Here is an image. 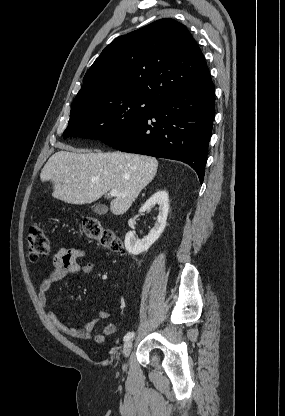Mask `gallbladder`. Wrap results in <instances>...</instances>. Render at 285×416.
<instances>
[{"label":"gallbladder","mask_w":285,"mask_h":416,"mask_svg":"<svg viewBox=\"0 0 285 416\" xmlns=\"http://www.w3.org/2000/svg\"><path fill=\"white\" fill-rule=\"evenodd\" d=\"M109 208L108 206H104V204H98V206H94L93 212L95 214H99V216H103V214H107Z\"/></svg>","instance_id":"bac80fb5"}]
</instances>
